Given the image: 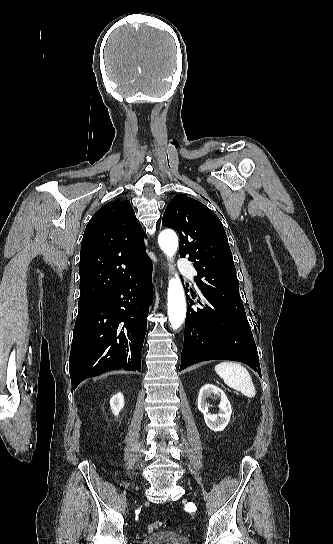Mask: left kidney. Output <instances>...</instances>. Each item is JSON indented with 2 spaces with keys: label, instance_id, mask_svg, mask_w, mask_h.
Here are the masks:
<instances>
[{
  "label": "left kidney",
  "instance_id": "5707ae66",
  "mask_svg": "<svg viewBox=\"0 0 333 544\" xmlns=\"http://www.w3.org/2000/svg\"><path fill=\"white\" fill-rule=\"evenodd\" d=\"M214 394L220 399L219 413L213 414L209 412L207 398ZM198 409L204 415V420L209 429L215 432L223 431L228 425L232 413L231 404L226 394L218 387L212 384H205L199 391Z\"/></svg>",
  "mask_w": 333,
  "mask_h": 544
}]
</instances>
